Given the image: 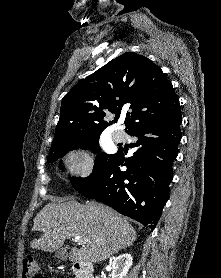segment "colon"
<instances>
[{"label":"colon","instance_id":"5ec220e1","mask_svg":"<svg viewBox=\"0 0 221 278\" xmlns=\"http://www.w3.org/2000/svg\"><path fill=\"white\" fill-rule=\"evenodd\" d=\"M22 278H44L41 276V267L33 257H25L22 261ZM53 278H65L55 276Z\"/></svg>","mask_w":221,"mask_h":278}]
</instances>
